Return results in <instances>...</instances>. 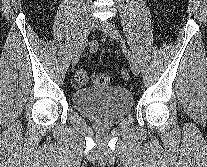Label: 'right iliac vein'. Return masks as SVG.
Instances as JSON below:
<instances>
[{"mask_svg":"<svg viewBox=\"0 0 207 167\" xmlns=\"http://www.w3.org/2000/svg\"><path fill=\"white\" fill-rule=\"evenodd\" d=\"M93 25H94V20H93L92 16L89 14L85 18L84 25H83V32L81 34L79 43H78V45L74 51V54H73V58H72V66L73 67L78 63V61L80 59V56L86 46L88 35H89Z\"/></svg>","mask_w":207,"mask_h":167,"instance_id":"right-iliac-vein-1","label":"right iliac vein"}]
</instances>
